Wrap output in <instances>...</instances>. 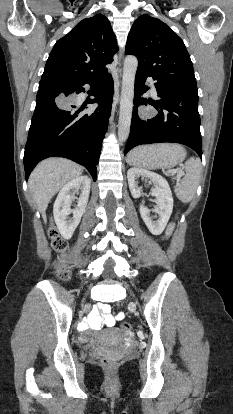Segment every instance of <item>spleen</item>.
<instances>
[{"mask_svg": "<svg viewBox=\"0 0 233 414\" xmlns=\"http://www.w3.org/2000/svg\"><path fill=\"white\" fill-rule=\"evenodd\" d=\"M133 153H135V149L128 155ZM184 168V178L175 186L174 192L181 202L186 203L193 198L199 184L202 172L201 161L191 157L186 161Z\"/></svg>", "mask_w": 233, "mask_h": 414, "instance_id": "3e777b00", "label": "spleen"}]
</instances>
